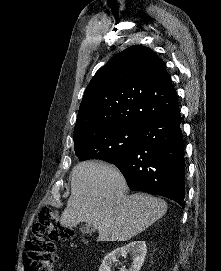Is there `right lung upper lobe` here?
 Segmentation results:
<instances>
[{
  "mask_svg": "<svg viewBox=\"0 0 221 271\" xmlns=\"http://www.w3.org/2000/svg\"><path fill=\"white\" fill-rule=\"evenodd\" d=\"M178 109L165 63L150 48L131 46L90 81L79 107L74 139L117 125L143 128Z\"/></svg>",
  "mask_w": 221,
  "mask_h": 271,
  "instance_id": "obj_1",
  "label": "right lung upper lobe"
}]
</instances>
